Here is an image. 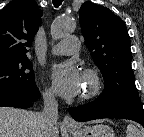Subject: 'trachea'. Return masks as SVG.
I'll return each mask as SVG.
<instances>
[{"label":"trachea","mask_w":144,"mask_h":137,"mask_svg":"<svg viewBox=\"0 0 144 137\" xmlns=\"http://www.w3.org/2000/svg\"><path fill=\"white\" fill-rule=\"evenodd\" d=\"M61 3H62V0H53V4H54L56 7L60 6Z\"/></svg>","instance_id":"obj_1"}]
</instances>
